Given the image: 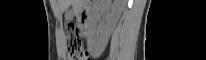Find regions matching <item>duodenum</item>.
I'll list each match as a JSON object with an SVG mask.
<instances>
[{
    "instance_id": "obj_1",
    "label": "duodenum",
    "mask_w": 206,
    "mask_h": 60,
    "mask_svg": "<svg viewBox=\"0 0 206 60\" xmlns=\"http://www.w3.org/2000/svg\"><path fill=\"white\" fill-rule=\"evenodd\" d=\"M91 11V6L89 3L87 2H84L80 5L79 7V18H80V22L82 24H85L87 19H88V16H89V13ZM83 26V25H82Z\"/></svg>"
}]
</instances>
